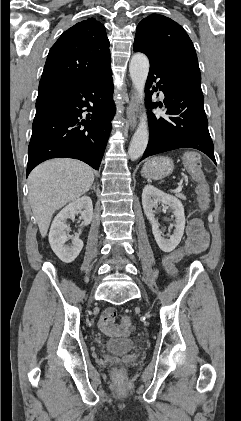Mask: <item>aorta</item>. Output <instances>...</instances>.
Here are the masks:
<instances>
[{
  "instance_id": "obj_1",
  "label": "aorta",
  "mask_w": 241,
  "mask_h": 421,
  "mask_svg": "<svg viewBox=\"0 0 241 421\" xmlns=\"http://www.w3.org/2000/svg\"><path fill=\"white\" fill-rule=\"evenodd\" d=\"M129 72L132 83L136 89L137 98L141 104L144 103V88L149 72V60L143 53H136L132 56L129 64ZM149 132L147 115L142 113L139 125L131 139L128 154L131 160L140 158L148 144Z\"/></svg>"
}]
</instances>
